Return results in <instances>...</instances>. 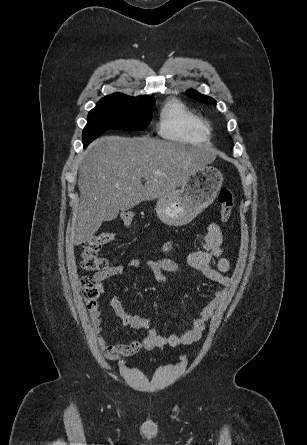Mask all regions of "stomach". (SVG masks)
Wrapping results in <instances>:
<instances>
[{"mask_svg": "<svg viewBox=\"0 0 307 445\" xmlns=\"http://www.w3.org/2000/svg\"><path fill=\"white\" fill-rule=\"evenodd\" d=\"M223 182V174L215 166H200L180 190H173L157 198L155 210L158 218L168 227H184L212 204Z\"/></svg>", "mask_w": 307, "mask_h": 445, "instance_id": "obj_1", "label": "stomach"}]
</instances>
